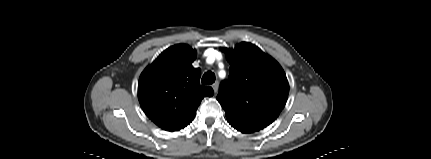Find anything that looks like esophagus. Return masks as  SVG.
<instances>
[{
    "instance_id": "esophagus-1",
    "label": "esophagus",
    "mask_w": 431,
    "mask_h": 159,
    "mask_svg": "<svg viewBox=\"0 0 431 159\" xmlns=\"http://www.w3.org/2000/svg\"><path fill=\"white\" fill-rule=\"evenodd\" d=\"M212 88H213V90H214V93L216 94V93H217V91H218V88H219V83H218V82H215V83L212 85Z\"/></svg>"
}]
</instances>
